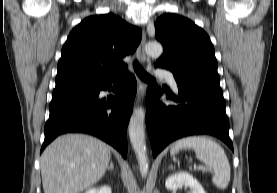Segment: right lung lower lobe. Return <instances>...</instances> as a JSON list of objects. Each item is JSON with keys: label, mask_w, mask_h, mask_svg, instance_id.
Masks as SVG:
<instances>
[{"label": "right lung lower lobe", "mask_w": 277, "mask_h": 193, "mask_svg": "<svg viewBox=\"0 0 277 193\" xmlns=\"http://www.w3.org/2000/svg\"><path fill=\"white\" fill-rule=\"evenodd\" d=\"M136 88L134 75L125 71L96 82L55 87L41 152L60 134L82 132L104 140L126 158ZM101 90H113L115 96L101 98Z\"/></svg>", "instance_id": "right-lung-lower-lobe-1"}]
</instances>
